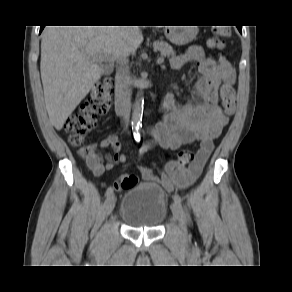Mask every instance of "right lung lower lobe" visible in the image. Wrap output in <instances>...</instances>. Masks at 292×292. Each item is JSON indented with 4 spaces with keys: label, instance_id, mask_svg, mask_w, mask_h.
Here are the masks:
<instances>
[{
    "label": "right lung lower lobe",
    "instance_id": "1",
    "mask_svg": "<svg viewBox=\"0 0 292 292\" xmlns=\"http://www.w3.org/2000/svg\"><path fill=\"white\" fill-rule=\"evenodd\" d=\"M44 27H45V26H40V33H41V31L43 30Z\"/></svg>",
    "mask_w": 292,
    "mask_h": 292
}]
</instances>
